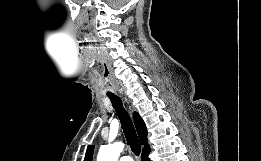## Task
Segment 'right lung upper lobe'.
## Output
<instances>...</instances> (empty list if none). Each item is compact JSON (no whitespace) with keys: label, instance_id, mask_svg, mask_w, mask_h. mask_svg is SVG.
Instances as JSON below:
<instances>
[{"label":"right lung upper lobe","instance_id":"obj_1","mask_svg":"<svg viewBox=\"0 0 261 161\" xmlns=\"http://www.w3.org/2000/svg\"><path fill=\"white\" fill-rule=\"evenodd\" d=\"M133 118L140 139V143L141 145H144L142 153L150 151V146L147 143V130L144 121L141 119L140 115L137 112L133 114ZM93 150L94 145H89L84 161H92Z\"/></svg>","mask_w":261,"mask_h":161}]
</instances>
